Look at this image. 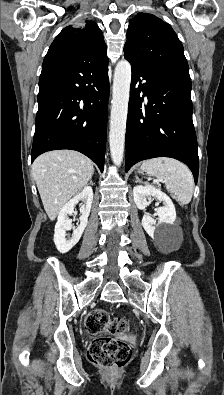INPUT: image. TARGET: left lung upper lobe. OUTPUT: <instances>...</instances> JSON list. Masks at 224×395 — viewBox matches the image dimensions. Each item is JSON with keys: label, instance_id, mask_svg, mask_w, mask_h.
Here are the masks:
<instances>
[{"label": "left lung upper lobe", "instance_id": "1", "mask_svg": "<svg viewBox=\"0 0 224 395\" xmlns=\"http://www.w3.org/2000/svg\"><path fill=\"white\" fill-rule=\"evenodd\" d=\"M124 56L131 62L190 79L183 46L171 26L160 18L138 13L130 22Z\"/></svg>", "mask_w": 224, "mask_h": 395}]
</instances>
